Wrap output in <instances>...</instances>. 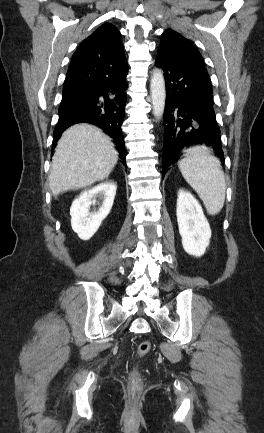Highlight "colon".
<instances>
[{"label":"colon","instance_id":"obj_1","mask_svg":"<svg viewBox=\"0 0 264 433\" xmlns=\"http://www.w3.org/2000/svg\"><path fill=\"white\" fill-rule=\"evenodd\" d=\"M151 351V343L149 341H141L136 349V354L138 357H144ZM131 384L135 387H138L141 382L140 374L134 370L130 375Z\"/></svg>","mask_w":264,"mask_h":433}]
</instances>
